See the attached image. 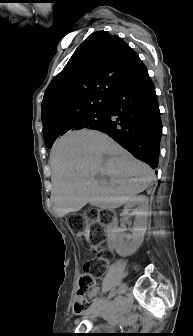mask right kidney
<instances>
[{
    "label": "right kidney",
    "mask_w": 193,
    "mask_h": 336,
    "mask_svg": "<svg viewBox=\"0 0 193 336\" xmlns=\"http://www.w3.org/2000/svg\"><path fill=\"white\" fill-rule=\"evenodd\" d=\"M135 217L132 241L129 246L126 244V248L129 254H133L141 246L144 240V235L147 229V219H148V198L144 195L135 196L129 199L125 206L124 212L128 213L132 208ZM123 240V238L121 239Z\"/></svg>",
    "instance_id": "obj_1"
}]
</instances>
